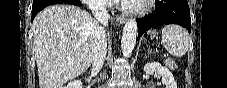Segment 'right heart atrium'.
<instances>
[{
  "label": "right heart atrium",
  "mask_w": 227,
  "mask_h": 88,
  "mask_svg": "<svg viewBox=\"0 0 227 88\" xmlns=\"http://www.w3.org/2000/svg\"><path fill=\"white\" fill-rule=\"evenodd\" d=\"M85 6L92 11L104 10L108 7V0H83Z\"/></svg>",
  "instance_id": "obj_1"
}]
</instances>
